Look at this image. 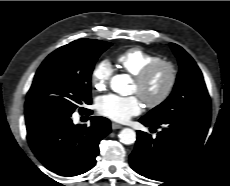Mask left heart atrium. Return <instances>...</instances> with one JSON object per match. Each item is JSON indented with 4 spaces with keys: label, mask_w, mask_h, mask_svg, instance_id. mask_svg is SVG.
Wrapping results in <instances>:
<instances>
[{
    "label": "left heart atrium",
    "mask_w": 230,
    "mask_h": 186,
    "mask_svg": "<svg viewBox=\"0 0 230 186\" xmlns=\"http://www.w3.org/2000/svg\"><path fill=\"white\" fill-rule=\"evenodd\" d=\"M142 106L136 96L122 97L115 94L102 96L97 101L98 112L116 122H126L141 112Z\"/></svg>",
    "instance_id": "39dd6f15"
}]
</instances>
